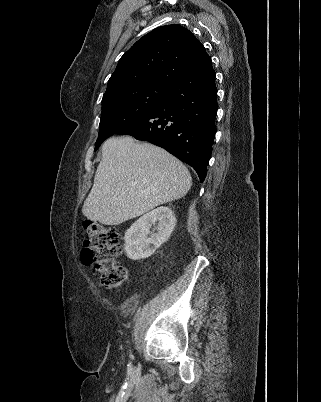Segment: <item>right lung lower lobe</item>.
I'll use <instances>...</instances> for the list:
<instances>
[{"mask_svg":"<svg viewBox=\"0 0 321 402\" xmlns=\"http://www.w3.org/2000/svg\"><path fill=\"white\" fill-rule=\"evenodd\" d=\"M217 88L212 64L168 86L166 99L116 134L163 147L192 166L201 182L216 133Z\"/></svg>","mask_w":321,"mask_h":402,"instance_id":"right-lung-lower-lobe-1","label":"right lung lower lobe"}]
</instances>
